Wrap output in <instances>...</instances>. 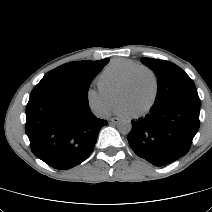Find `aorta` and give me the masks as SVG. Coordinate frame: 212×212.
Instances as JSON below:
<instances>
[{"label":"aorta","instance_id":"aorta-1","mask_svg":"<svg viewBox=\"0 0 212 212\" xmlns=\"http://www.w3.org/2000/svg\"><path fill=\"white\" fill-rule=\"evenodd\" d=\"M131 128L132 124L129 120H124L118 124V130L121 134H128Z\"/></svg>","mask_w":212,"mask_h":212}]
</instances>
